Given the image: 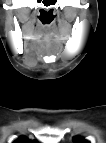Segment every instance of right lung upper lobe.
<instances>
[{
  "mask_svg": "<svg viewBox=\"0 0 106 143\" xmlns=\"http://www.w3.org/2000/svg\"><path fill=\"white\" fill-rule=\"evenodd\" d=\"M36 141H31L26 137H19L18 139H16L13 143H35Z\"/></svg>",
  "mask_w": 106,
  "mask_h": 143,
  "instance_id": "obj_1",
  "label": "right lung upper lobe"
}]
</instances>
